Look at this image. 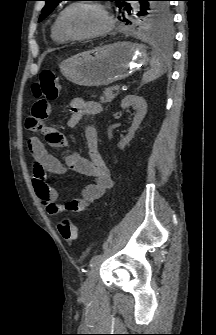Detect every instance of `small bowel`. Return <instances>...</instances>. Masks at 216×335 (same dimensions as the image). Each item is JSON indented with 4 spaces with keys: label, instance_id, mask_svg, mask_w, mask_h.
I'll list each match as a JSON object with an SVG mask.
<instances>
[{
    "label": "small bowel",
    "instance_id": "1",
    "mask_svg": "<svg viewBox=\"0 0 216 335\" xmlns=\"http://www.w3.org/2000/svg\"><path fill=\"white\" fill-rule=\"evenodd\" d=\"M37 104L30 109V119L26 120L29 130L33 134L45 135L50 146L56 149H65L68 144L66 139L47 120L51 115H59V108H51L47 98H37ZM71 115L67 121L70 128H76L82 120L101 112V104L94 100L74 98L70 103ZM86 148L88 158L76 152H70L65 160L64 167L46 149L44 143L36 136L28 138L27 146L33 159V187L35 193L51 216L65 211L81 212L90 204L101 198L113 185L109 169L105 164L98 147V135L92 126L85 130ZM70 169L78 174L88 176L92 182L87 184L81 193V198L74 199L64 205L58 204L57 191L47 183L48 174H62Z\"/></svg>",
    "mask_w": 216,
    "mask_h": 335
}]
</instances>
